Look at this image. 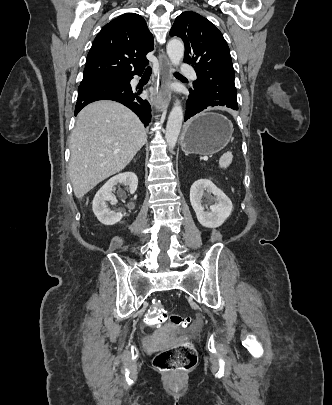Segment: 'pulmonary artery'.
I'll return each mask as SVG.
<instances>
[{
	"mask_svg": "<svg viewBox=\"0 0 332 405\" xmlns=\"http://www.w3.org/2000/svg\"><path fill=\"white\" fill-rule=\"evenodd\" d=\"M181 71H182L183 74L189 76L191 79H193V80L196 79V73H195V71L193 70V68H191L190 66H188V65H183V66L181 67Z\"/></svg>",
	"mask_w": 332,
	"mask_h": 405,
	"instance_id": "obj_1",
	"label": "pulmonary artery"
}]
</instances>
